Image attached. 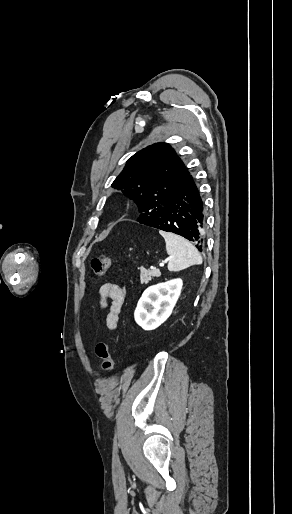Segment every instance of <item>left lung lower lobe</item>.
Wrapping results in <instances>:
<instances>
[{
    "label": "left lung lower lobe",
    "mask_w": 292,
    "mask_h": 514,
    "mask_svg": "<svg viewBox=\"0 0 292 514\" xmlns=\"http://www.w3.org/2000/svg\"><path fill=\"white\" fill-rule=\"evenodd\" d=\"M205 223L204 204L195 181L189 174L163 206L161 213L145 225L183 236L202 251Z\"/></svg>",
    "instance_id": "obj_1"
}]
</instances>
